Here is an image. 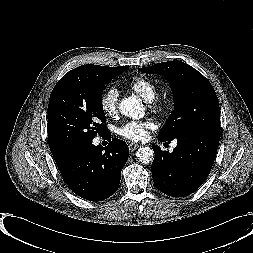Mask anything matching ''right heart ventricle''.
Listing matches in <instances>:
<instances>
[{
  "label": "right heart ventricle",
  "mask_w": 253,
  "mask_h": 253,
  "mask_svg": "<svg viewBox=\"0 0 253 253\" xmlns=\"http://www.w3.org/2000/svg\"><path fill=\"white\" fill-rule=\"evenodd\" d=\"M129 88L148 103L155 99L158 95L157 84L144 77L134 78L130 82Z\"/></svg>",
  "instance_id": "right-heart-ventricle-1"
}]
</instances>
